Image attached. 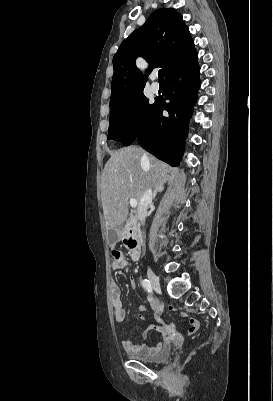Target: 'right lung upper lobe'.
<instances>
[{
	"label": "right lung upper lobe",
	"mask_w": 273,
	"mask_h": 401,
	"mask_svg": "<svg viewBox=\"0 0 273 401\" xmlns=\"http://www.w3.org/2000/svg\"><path fill=\"white\" fill-rule=\"evenodd\" d=\"M137 57L149 63L147 75L158 64L165 78L173 68L197 58L189 29L175 9L155 11L140 29L121 43L113 58L110 107L143 93L146 80L136 67Z\"/></svg>",
	"instance_id": "right-lung-upper-lobe-1"
}]
</instances>
